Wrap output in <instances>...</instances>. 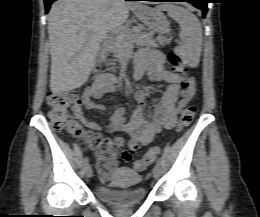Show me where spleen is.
<instances>
[{
    "label": "spleen",
    "mask_w": 260,
    "mask_h": 217,
    "mask_svg": "<svg viewBox=\"0 0 260 217\" xmlns=\"http://www.w3.org/2000/svg\"><path fill=\"white\" fill-rule=\"evenodd\" d=\"M160 8L167 11L168 15L180 25L181 45L178 47L180 54L186 59L199 57L202 45V27L199 19L183 7L166 4Z\"/></svg>",
    "instance_id": "3e777b00"
}]
</instances>
